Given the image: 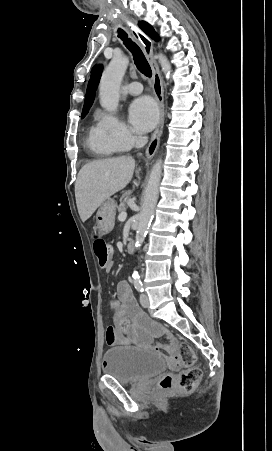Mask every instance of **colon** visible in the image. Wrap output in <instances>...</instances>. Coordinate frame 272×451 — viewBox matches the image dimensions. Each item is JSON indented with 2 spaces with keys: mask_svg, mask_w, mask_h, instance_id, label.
Here are the masks:
<instances>
[{
  "mask_svg": "<svg viewBox=\"0 0 272 451\" xmlns=\"http://www.w3.org/2000/svg\"><path fill=\"white\" fill-rule=\"evenodd\" d=\"M94 251L99 266H107L112 252L110 245L103 239H96L94 241ZM109 331L111 334L108 340V347L120 348L121 340L115 339V328L109 327ZM166 349L173 351V358L178 364L188 366L187 369L181 371L179 374H166L162 376L159 381V387L163 390H170L177 387L183 391L191 392L201 376L200 366L195 365L196 350H191V342H168Z\"/></svg>",
  "mask_w": 272,
  "mask_h": 451,
  "instance_id": "colon-1",
  "label": "colon"
}]
</instances>
